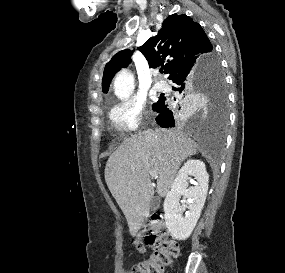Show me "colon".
Returning <instances> with one entry per match:
<instances>
[{"mask_svg": "<svg viewBox=\"0 0 285 273\" xmlns=\"http://www.w3.org/2000/svg\"><path fill=\"white\" fill-rule=\"evenodd\" d=\"M143 253L146 247L154 252L133 268V273H165L179 253V244L167 231L161 218L152 219L139 238L133 242Z\"/></svg>", "mask_w": 285, "mask_h": 273, "instance_id": "colon-1", "label": "colon"}]
</instances>
